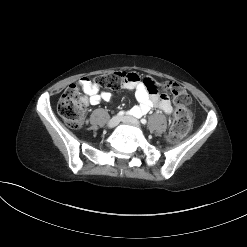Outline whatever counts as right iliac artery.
<instances>
[{
	"label": "right iliac artery",
	"instance_id": "1",
	"mask_svg": "<svg viewBox=\"0 0 247 247\" xmlns=\"http://www.w3.org/2000/svg\"><path fill=\"white\" fill-rule=\"evenodd\" d=\"M124 114H125L124 111H120V112L118 113L119 116H123ZM129 114H131V112H129Z\"/></svg>",
	"mask_w": 247,
	"mask_h": 247
}]
</instances>
